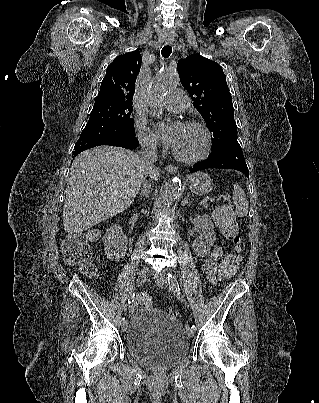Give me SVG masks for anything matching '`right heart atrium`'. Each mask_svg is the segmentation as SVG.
I'll return each mask as SVG.
<instances>
[{
    "instance_id": "1",
    "label": "right heart atrium",
    "mask_w": 319,
    "mask_h": 403,
    "mask_svg": "<svg viewBox=\"0 0 319 403\" xmlns=\"http://www.w3.org/2000/svg\"><path fill=\"white\" fill-rule=\"evenodd\" d=\"M136 126L141 145L147 150H156L157 140L153 132L148 128L146 120L143 117H139Z\"/></svg>"
}]
</instances>
